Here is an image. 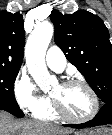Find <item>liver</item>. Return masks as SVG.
Returning a JSON list of instances; mask_svg holds the SVG:
<instances>
[{"instance_id": "1", "label": "liver", "mask_w": 112, "mask_h": 135, "mask_svg": "<svg viewBox=\"0 0 112 135\" xmlns=\"http://www.w3.org/2000/svg\"><path fill=\"white\" fill-rule=\"evenodd\" d=\"M70 130L36 121H18L0 110V135H66Z\"/></svg>"}]
</instances>
